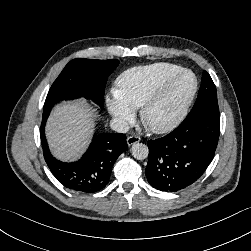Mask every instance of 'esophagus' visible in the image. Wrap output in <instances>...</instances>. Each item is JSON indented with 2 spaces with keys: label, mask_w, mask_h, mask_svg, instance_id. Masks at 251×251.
<instances>
[{
  "label": "esophagus",
  "mask_w": 251,
  "mask_h": 251,
  "mask_svg": "<svg viewBox=\"0 0 251 251\" xmlns=\"http://www.w3.org/2000/svg\"><path fill=\"white\" fill-rule=\"evenodd\" d=\"M140 140H141L140 137L132 135L127 138V144L128 146H131L135 143H138Z\"/></svg>",
  "instance_id": "1"
}]
</instances>
